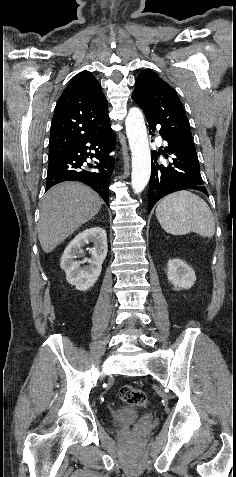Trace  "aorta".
Wrapping results in <instances>:
<instances>
[{"instance_id":"aorta-1","label":"aorta","mask_w":236,"mask_h":477,"mask_svg":"<svg viewBox=\"0 0 236 477\" xmlns=\"http://www.w3.org/2000/svg\"><path fill=\"white\" fill-rule=\"evenodd\" d=\"M125 126L132 156L131 184L138 194L147 186L151 174V152L144 117L139 108L129 110Z\"/></svg>"}]
</instances>
